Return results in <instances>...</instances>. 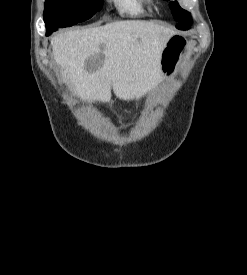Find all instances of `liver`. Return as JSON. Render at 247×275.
Here are the masks:
<instances>
[{
    "label": "liver",
    "instance_id": "1",
    "mask_svg": "<svg viewBox=\"0 0 247 275\" xmlns=\"http://www.w3.org/2000/svg\"><path fill=\"white\" fill-rule=\"evenodd\" d=\"M174 34L153 22L123 20L58 34L51 46L65 83L83 100L109 102L113 89L129 101L157 87L161 53Z\"/></svg>",
    "mask_w": 247,
    "mask_h": 275
}]
</instances>
